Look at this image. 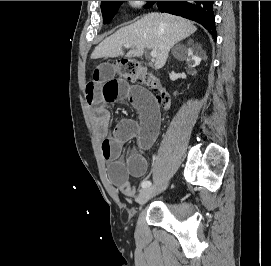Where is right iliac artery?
<instances>
[{
    "mask_svg": "<svg viewBox=\"0 0 271 266\" xmlns=\"http://www.w3.org/2000/svg\"><path fill=\"white\" fill-rule=\"evenodd\" d=\"M151 186V182L148 180H145L141 183L142 188H149Z\"/></svg>",
    "mask_w": 271,
    "mask_h": 266,
    "instance_id": "82829eb1",
    "label": "right iliac artery"
}]
</instances>
